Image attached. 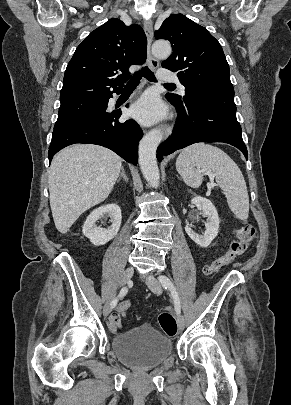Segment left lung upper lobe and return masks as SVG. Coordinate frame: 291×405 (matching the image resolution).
I'll use <instances>...</instances> for the list:
<instances>
[{
    "label": "left lung upper lobe",
    "mask_w": 291,
    "mask_h": 405,
    "mask_svg": "<svg viewBox=\"0 0 291 405\" xmlns=\"http://www.w3.org/2000/svg\"><path fill=\"white\" fill-rule=\"evenodd\" d=\"M156 39L170 41L173 53L162 67L173 72L185 86V96L166 94L174 101H183L193 89H233L230 70L219 42L202 26L182 14H172L155 32Z\"/></svg>",
    "instance_id": "obj_1"
}]
</instances>
